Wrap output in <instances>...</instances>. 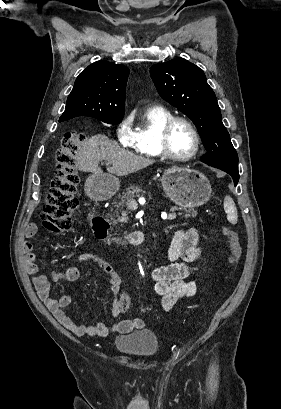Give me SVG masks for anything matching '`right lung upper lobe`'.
I'll use <instances>...</instances> for the list:
<instances>
[{"instance_id": "1", "label": "right lung upper lobe", "mask_w": 281, "mask_h": 409, "mask_svg": "<svg viewBox=\"0 0 281 409\" xmlns=\"http://www.w3.org/2000/svg\"><path fill=\"white\" fill-rule=\"evenodd\" d=\"M129 69L105 60L89 65L77 77L59 122L77 116L123 118Z\"/></svg>"}]
</instances>
